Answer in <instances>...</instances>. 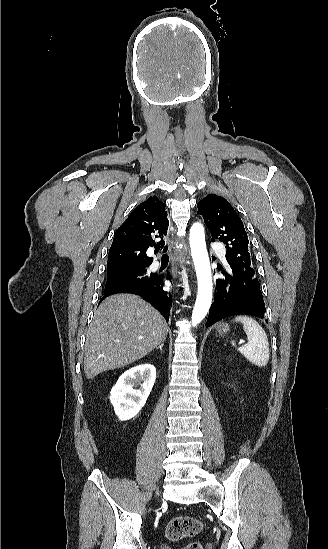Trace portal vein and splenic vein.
<instances>
[{
  "label": "portal vein and splenic vein",
  "instance_id": "1",
  "mask_svg": "<svg viewBox=\"0 0 328 549\" xmlns=\"http://www.w3.org/2000/svg\"><path fill=\"white\" fill-rule=\"evenodd\" d=\"M240 343H245V341H240Z\"/></svg>",
  "mask_w": 328,
  "mask_h": 549
}]
</instances>
